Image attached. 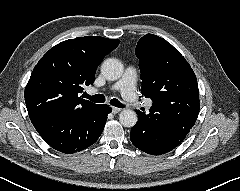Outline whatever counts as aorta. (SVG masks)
I'll list each match as a JSON object with an SVG mask.
<instances>
[{"label":"aorta","instance_id":"762f6f07","mask_svg":"<svg viewBox=\"0 0 240 191\" xmlns=\"http://www.w3.org/2000/svg\"><path fill=\"white\" fill-rule=\"evenodd\" d=\"M124 71L123 64L115 58L106 59L102 66L101 72L107 80H117L119 79ZM137 114L131 109H124L119 114V121L124 127H133L137 122Z\"/></svg>","mask_w":240,"mask_h":191}]
</instances>
